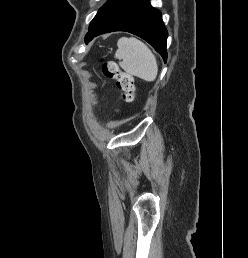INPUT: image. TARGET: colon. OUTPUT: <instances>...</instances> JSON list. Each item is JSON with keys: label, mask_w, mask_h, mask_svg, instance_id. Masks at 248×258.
Listing matches in <instances>:
<instances>
[{"label": "colon", "mask_w": 248, "mask_h": 258, "mask_svg": "<svg viewBox=\"0 0 248 258\" xmlns=\"http://www.w3.org/2000/svg\"><path fill=\"white\" fill-rule=\"evenodd\" d=\"M102 73L105 77L114 79L121 98L125 102H132L135 97V86L133 76L122 71L114 61L104 60L102 62Z\"/></svg>", "instance_id": "1"}]
</instances>
